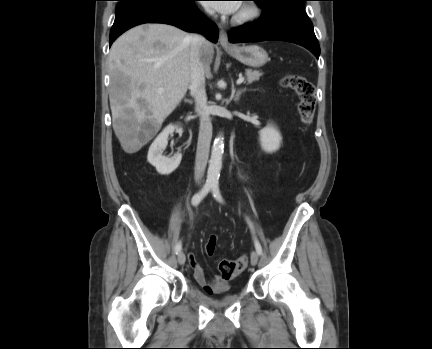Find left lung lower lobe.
<instances>
[{"instance_id":"obj_1","label":"left lung lower lobe","mask_w":432,"mask_h":349,"mask_svg":"<svg viewBox=\"0 0 432 349\" xmlns=\"http://www.w3.org/2000/svg\"><path fill=\"white\" fill-rule=\"evenodd\" d=\"M280 40L296 43L313 52L318 58L320 47L313 25L304 10L278 4L263 9L259 22L233 28L229 41L258 42Z\"/></svg>"}]
</instances>
